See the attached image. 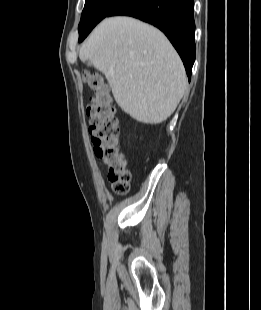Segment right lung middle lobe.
Here are the masks:
<instances>
[{
	"label": "right lung middle lobe",
	"instance_id": "right-lung-middle-lobe-1",
	"mask_svg": "<svg viewBox=\"0 0 261 310\" xmlns=\"http://www.w3.org/2000/svg\"><path fill=\"white\" fill-rule=\"evenodd\" d=\"M123 1L124 0H85L81 21L78 26L79 42L88 29L92 30L97 23L107 17L108 14Z\"/></svg>",
	"mask_w": 261,
	"mask_h": 310
}]
</instances>
